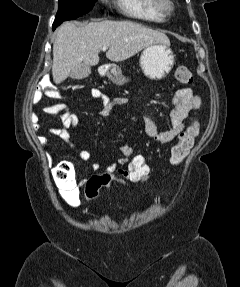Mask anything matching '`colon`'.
<instances>
[{
  "instance_id": "1",
  "label": "colon",
  "mask_w": 240,
  "mask_h": 287,
  "mask_svg": "<svg viewBox=\"0 0 240 287\" xmlns=\"http://www.w3.org/2000/svg\"><path fill=\"white\" fill-rule=\"evenodd\" d=\"M175 78L183 84H190L193 81L191 71L186 66H179L175 70ZM83 85L75 86V89H82ZM198 124L194 120L188 127L179 134L177 143L170 151L169 164L171 167L179 165L188 155L194 145L198 134ZM151 176V166L147 158L140 152L133 150L126 164L124 178L133 183L146 182ZM53 177L56 183L63 190V194H70L76 189L74 170L71 163L62 161L53 169ZM85 198L88 203H93L103 188L118 187L123 185V181L108 173L93 175L83 183Z\"/></svg>"
}]
</instances>
